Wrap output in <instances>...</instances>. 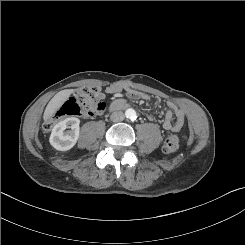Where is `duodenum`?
<instances>
[{
    "instance_id": "duodenum-1",
    "label": "duodenum",
    "mask_w": 245,
    "mask_h": 245,
    "mask_svg": "<svg viewBox=\"0 0 245 245\" xmlns=\"http://www.w3.org/2000/svg\"><path fill=\"white\" fill-rule=\"evenodd\" d=\"M127 107H128L127 104H122V105H120L119 107H117L116 110H118V109H124V108H127Z\"/></svg>"
}]
</instances>
